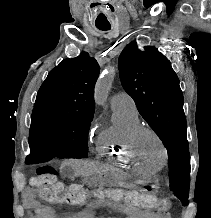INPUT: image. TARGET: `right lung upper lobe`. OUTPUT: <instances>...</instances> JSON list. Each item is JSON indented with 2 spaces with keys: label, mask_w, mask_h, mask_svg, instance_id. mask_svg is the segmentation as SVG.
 Segmentation results:
<instances>
[{
  "label": "right lung upper lobe",
  "mask_w": 211,
  "mask_h": 218,
  "mask_svg": "<svg viewBox=\"0 0 211 218\" xmlns=\"http://www.w3.org/2000/svg\"><path fill=\"white\" fill-rule=\"evenodd\" d=\"M100 67L95 58L83 52L65 59L50 71L40 87L34 108L94 113V85Z\"/></svg>",
  "instance_id": "cb5924a9"
}]
</instances>
